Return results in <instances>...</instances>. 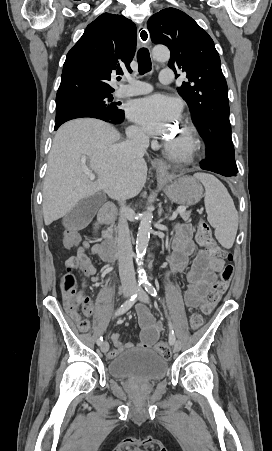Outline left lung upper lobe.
I'll use <instances>...</instances> for the list:
<instances>
[{"instance_id": "obj_1", "label": "left lung upper lobe", "mask_w": 272, "mask_h": 451, "mask_svg": "<svg viewBox=\"0 0 272 451\" xmlns=\"http://www.w3.org/2000/svg\"><path fill=\"white\" fill-rule=\"evenodd\" d=\"M147 28L153 43L170 49L168 66L175 73H186L188 82L177 90L187 102L200 136L207 141V160L237 173L227 83L213 40L190 16L171 7L152 15Z\"/></svg>"}]
</instances>
